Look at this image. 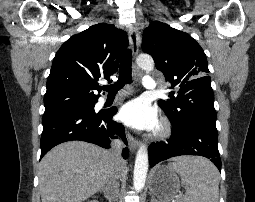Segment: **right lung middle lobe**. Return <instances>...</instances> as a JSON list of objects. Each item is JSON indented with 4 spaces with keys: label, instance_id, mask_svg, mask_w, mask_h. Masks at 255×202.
I'll use <instances>...</instances> for the list:
<instances>
[{
    "label": "right lung middle lobe",
    "instance_id": "obj_1",
    "mask_svg": "<svg viewBox=\"0 0 255 202\" xmlns=\"http://www.w3.org/2000/svg\"><path fill=\"white\" fill-rule=\"evenodd\" d=\"M94 105H95V103H86V104L77 105V106H74L71 108H85V109L94 110Z\"/></svg>",
    "mask_w": 255,
    "mask_h": 202
}]
</instances>
